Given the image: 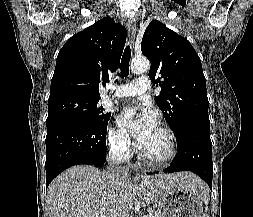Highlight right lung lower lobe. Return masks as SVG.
I'll return each instance as SVG.
<instances>
[{
	"label": "right lung lower lobe",
	"mask_w": 253,
	"mask_h": 217,
	"mask_svg": "<svg viewBox=\"0 0 253 217\" xmlns=\"http://www.w3.org/2000/svg\"><path fill=\"white\" fill-rule=\"evenodd\" d=\"M107 124L92 126L64 121L47 127L46 188L59 173L71 166L89 164L100 167L105 163Z\"/></svg>",
	"instance_id": "obj_1"
}]
</instances>
